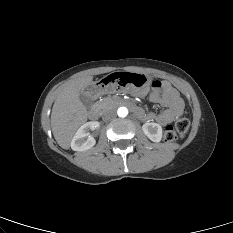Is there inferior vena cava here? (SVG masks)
I'll return each instance as SVG.
<instances>
[{"instance_id":"1","label":"inferior vena cava","mask_w":233,"mask_h":233,"mask_svg":"<svg viewBox=\"0 0 233 233\" xmlns=\"http://www.w3.org/2000/svg\"><path fill=\"white\" fill-rule=\"evenodd\" d=\"M116 116V113L114 110H108V111H105L103 116H102V119L104 121H109L111 119H114Z\"/></svg>"}]
</instances>
